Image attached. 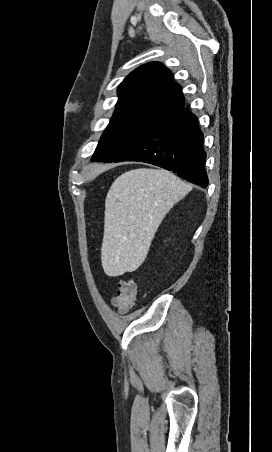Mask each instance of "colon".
I'll use <instances>...</instances> for the list:
<instances>
[{"instance_id":"5ec220e1","label":"colon","mask_w":272,"mask_h":452,"mask_svg":"<svg viewBox=\"0 0 272 452\" xmlns=\"http://www.w3.org/2000/svg\"><path fill=\"white\" fill-rule=\"evenodd\" d=\"M137 297V285L132 279H120L117 284V290L111 302L120 313L129 312L135 303Z\"/></svg>"}]
</instances>
